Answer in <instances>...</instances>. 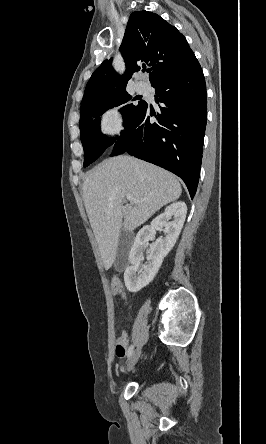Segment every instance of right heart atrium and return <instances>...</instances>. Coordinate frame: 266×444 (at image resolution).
Here are the masks:
<instances>
[{"mask_svg": "<svg viewBox=\"0 0 266 444\" xmlns=\"http://www.w3.org/2000/svg\"><path fill=\"white\" fill-rule=\"evenodd\" d=\"M124 129V118L118 107H109L99 119L100 134L106 139L119 136Z\"/></svg>", "mask_w": 266, "mask_h": 444, "instance_id": "obj_1", "label": "right heart atrium"}]
</instances>
